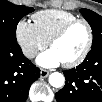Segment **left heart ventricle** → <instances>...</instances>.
Masks as SVG:
<instances>
[{
	"mask_svg": "<svg viewBox=\"0 0 102 102\" xmlns=\"http://www.w3.org/2000/svg\"><path fill=\"white\" fill-rule=\"evenodd\" d=\"M88 32L83 24L72 27L67 34L53 44L51 50L61 59L62 63L75 60L84 50Z\"/></svg>",
	"mask_w": 102,
	"mask_h": 102,
	"instance_id": "obj_1",
	"label": "left heart ventricle"
}]
</instances>
